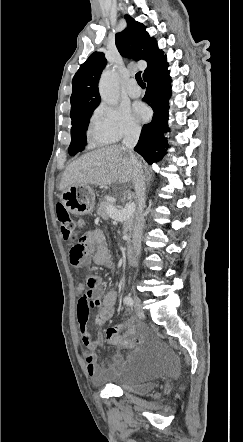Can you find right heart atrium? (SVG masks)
<instances>
[{
	"instance_id": "right-heart-atrium-1",
	"label": "right heart atrium",
	"mask_w": 243,
	"mask_h": 442,
	"mask_svg": "<svg viewBox=\"0 0 243 442\" xmlns=\"http://www.w3.org/2000/svg\"><path fill=\"white\" fill-rule=\"evenodd\" d=\"M92 124L111 143L140 132V126L128 108L104 103L96 109Z\"/></svg>"
}]
</instances>
